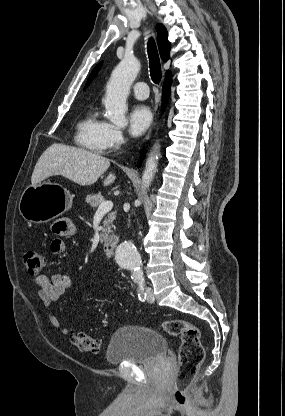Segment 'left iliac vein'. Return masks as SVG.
Here are the masks:
<instances>
[{"mask_svg": "<svg viewBox=\"0 0 285 416\" xmlns=\"http://www.w3.org/2000/svg\"><path fill=\"white\" fill-rule=\"evenodd\" d=\"M145 294H146L147 301H149L151 303L154 302V294H153L152 288L147 287L146 291H145Z\"/></svg>", "mask_w": 285, "mask_h": 416, "instance_id": "left-iliac-vein-1", "label": "left iliac vein"}]
</instances>
